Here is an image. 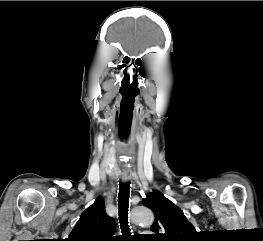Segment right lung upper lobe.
I'll use <instances>...</instances> for the list:
<instances>
[{
  "mask_svg": "<svg viewBox=\"0 0 263 241\" xmlns=\"http://www.w3.org/2000/svg\"><path fill=\"white\" fill-rule=\"evenodd\" d=\"M115 221L105 212L102 197H97L95 202L80 216L67 241H114Z\"/></svg>",
  "mask_w": 263,
  "mask_h": 241,
  "instance_id": "1",
  "label": "right lung upper lobe"
}]
</instances>
